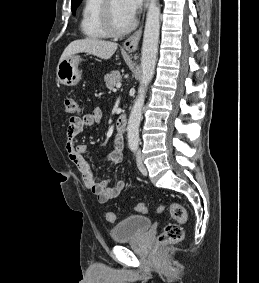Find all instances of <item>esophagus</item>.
<instances>
[{"label": "esophagus", "mask_w": 259, "mask_h": 283, "mask_svg": "<svg viewBox=\"0 0 259 283\" xmlns=\"http://www.w3.org/2000/svg\"><path fill=\"white\" fill-rule=\"evenodd\" d=\"M148 6H149V0H145L144 11H146ZM142 28L143 26H141L134 34H132L128 39L125 40V42L123 43V47L125 48V50H127L128 52L136 51L138 47V43L141 38Z\"/></svg>", "instance_id": "esophagus-1"}]
</instances>
